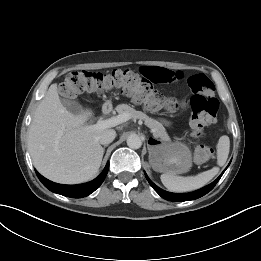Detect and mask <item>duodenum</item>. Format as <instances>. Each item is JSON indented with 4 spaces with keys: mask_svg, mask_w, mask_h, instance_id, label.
<instances>
[{
    "mask_svg": "<svg viewBox=\"0 0 261 261\" xmlns=\"http://www.w3.org/2000/svg\"><path fill=\"white\" fill-rule=\"evenodd\" d=\"M111 111V106L109 104H105L102 108L103 114H108Z\"/></svg>",
    "mask_w": 261,
    "mask_h": 261,
    "instance_id": "410a0bca",
    "label": "duodenum"
}]
</instances>
